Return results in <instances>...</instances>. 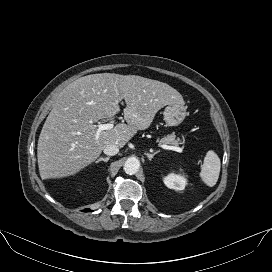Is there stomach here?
Masks as SVG:
<instances>
[{"instance_id": "0dacf381", "label": "stomach", "mask_w": 272, "mask_h": 272, "mask_svg": "<svg viewBox=\"0 0 272 272\" xmlns=\"http://www.w3.org/2000/svg\"><path fill=\"white\" fill-rule=\"evenodd\" d=\"M163 115L167 126H178L186 117V106L184 103H171L165 108Z\"/></svg>"}]
</instances>
